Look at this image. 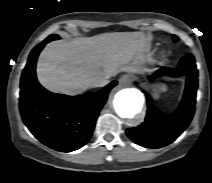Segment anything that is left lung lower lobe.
Wrapping results in <instances>:
<instances>
[{
	"instance_id": "0a47b994",
	"label": "left lung lower lobe",
	"mask_w": 212,
	"mask_h": 183,
	"mask_svg": "<svg viewBox=\"0 0 212 183\" xmlns=\"http://www.w3.org/2000/svg\"><path fill=\"white\" fill-rule=\"evenodd\" d=\"M158 73L187 78L186 89L179 108L172 114H164L157 110L147 95L148 110L145 121L134 128L126 130L127 136L136 144L147 148H161L173 142L190 124L196 102L198 87V71L191 54L183 57L178 69L161 68Z\"/></svg>"
}]
</instances>
